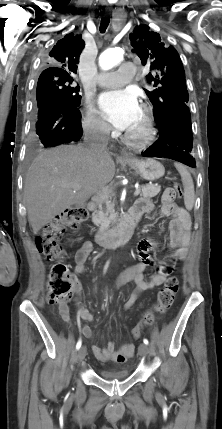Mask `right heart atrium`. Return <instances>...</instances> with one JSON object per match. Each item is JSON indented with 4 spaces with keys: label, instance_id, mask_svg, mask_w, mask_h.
I'll return each mask as SVG.
<instances>
[{
    "label": "right heart atrium",
    "instance_id": "obj_1",
    "mask_svg": "<svg viewBox=\"0 0 222 429\" xmlns=\"http://www.w3.org/2000/svg\"><path fill=\"white\" fill-rule=\"evenodd\" d=\"M83 124L90 134L104 135L109 131L107 123L101 118L97 110L90 103L87 105Z\"/></svg>",
    "mask_w": 222,
    "mask_h": 429
}]
</instances>
